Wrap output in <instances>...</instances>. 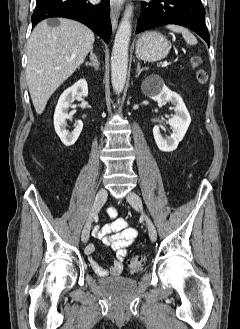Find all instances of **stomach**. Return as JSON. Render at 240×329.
Wrapping results in <instances>:
<instances>
[{
	"mask_svg": "<svg viewBox=\"0 0 240 329\" xmlns=\"http://www.w3.org/2000/svg\"><path fill=\"white\" fill-rule=\"evenodd\" d=\"M170 51L167 39L155 31L143 33L136 43V56L148 62H154L165 58Z\"/></svg>",
	"mask_w": 240,
	"mask_h": 329,
	"instance_id": "obj_1",
	"label": "stomach"
}]
</instances>
